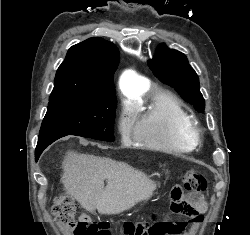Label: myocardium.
I'll use <instances>...</instances> for the list:
<instances>
[{
	"mask_svg": "<svg viewBox=\"0 0 250 235\" xmlns=\"http://www.w3.org/2000/svg\"><path fill=\"white\" fill-rule=\"evenodd\" d=\"M184 135L186 139L195 146L201 140V129L197 124L191 123L185 128Z\"/></svg>",
	"mask_w": 250,
	"mask_h": 235,
	"instance_id": "obj_1",
	"label": "myocardium"
}]
</instances>
